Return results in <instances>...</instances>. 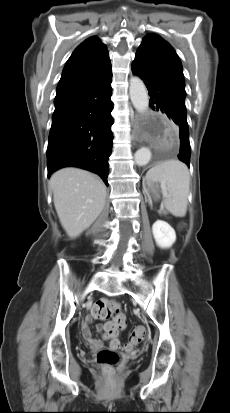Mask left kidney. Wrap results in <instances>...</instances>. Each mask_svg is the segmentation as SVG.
<instances>
[{"label": "left kidney", "mask_w": 230, "mask_h": 413, "mask_svg": "<svg viewBox=\"0 0 230 413\" xmlns=\"http://www.w3.org/2000/svg\"><path fill=\"white\" fill-rule=\"evenodd\" d=\"M156 244L161 248H169L176 241L174 229L165 221L157 220L152 226Z\"/></svg>", "instance_id": "5707ae66"}]
</instances>
